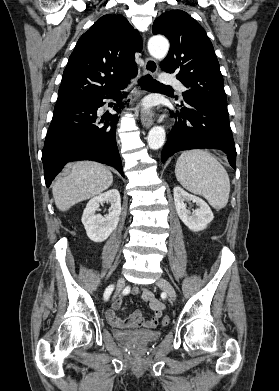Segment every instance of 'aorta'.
<instances>
[{"instance_id":"aorta-1","label":"aorta","mask_w":279,"mask_h":391,"mask_svg":"<svg viewBox=\"0 0 279 391\" xmlns=\"http://www.w3.org/2000/svg\"><path fill=\"white\" fill-rule=\"evenodd\" d=\"M169 50V42L162 36L152 37L148 42V51L152 57L156 59H164ZM165 130L161 126L153 127L148 133V146L157 150L161 148L165 142Z\"/></svg>"}]
</instances>
